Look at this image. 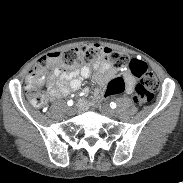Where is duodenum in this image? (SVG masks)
I'll return each mask as SVG.
<instances>
[{"label": "duodenum", "mask_w": 183, "mask_h": 183, "mask_svg": "<svg viewBox=\"0 0 183 183\" xmlns=\"http://www.w3.org/2000/svg\"><path fill=\"white\" fill-rule=\"evenodd\" d=\"M101 90L95 89L93 92V97L87 102L85 99H82L80 101V108L86 109L87 105L89 107H92L94 104H96L100 100Z\"/></svg>", "instance_id": "410a0bca"}]
</instances>
